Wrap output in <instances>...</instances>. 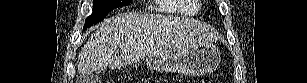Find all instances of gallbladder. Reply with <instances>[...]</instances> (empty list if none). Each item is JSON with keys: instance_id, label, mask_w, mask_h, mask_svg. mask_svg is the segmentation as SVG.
I'll return each instance as SVG.
<instances>
[{"instance_id": "1", "label": "gallbladder", "mask_w": 307, "mask_h": 83, "mask_svg": "<svg viewBox=\"0 0 307 83\" xmlns=\"http://www.w3.org/2000/svg\"><path fill=\"white\" fill-rule=\"evenodd\" d=\"M96 80L97 78L95 76H87V79H86L87 83L88 82L94 83Z\"/></svg>"}]
</instances>
